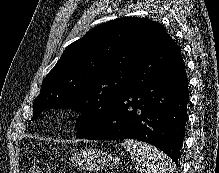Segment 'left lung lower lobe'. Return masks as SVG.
I'll use <instances>...</instances> for the list:
<instances>
[{"mask_svg":"<svg viewBox=\"0 0 219 173\" xmlns=\"http://www.w3.org/2000/svg\"><path fill=\"white\" fill-rule=\"evenodd\" d=\"M188 79L180 47L168 36L133 74V87L86 139H137L177 165L185 136Z\"/></svg>","mask_w":219,"mask_h":173,"instance_id":"left-lung-lower-lobe-1","label":"left lung lower lobe"}]
</instances>
